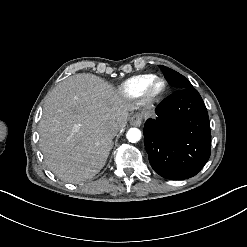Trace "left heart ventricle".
Returning <instances> with one entry per match:
<instances>
[{
    "instance_id": "1",
    "label": "left heart ventricle",
    "mask_w": 247,
    "mask_h": 247,
    "mask_svg": "<svg viewBox=\"0 0 247 247\" xmlns=\"http://www.w3.org/2000/svg\"><path fill=\"white\" fill-rule=\"evenodd\" d=\"M161 88H162V84H161V83H158V84L155 86V91H159Z\"/></svg>"
}]
</instances>
